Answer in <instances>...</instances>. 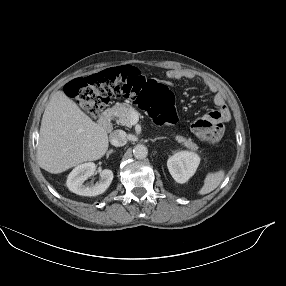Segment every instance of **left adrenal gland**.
<instances>
[{"instance_id": "left-adrenal-gland-1", "label": "left adrenal gland", "mask_w": 286, "mask_h": 286, "mask_svg": "<svg viewBox=\"0 0 286 286\" xmlns=\"http://www.w3.org/2000/svg\"><path fill=\"white\" fill-rule=\"evenodd\" d=\"M160 139H165V137H157V138H154V139H150L152 142H155L156 140H160Z\"/></svg>"}]
</instances>
